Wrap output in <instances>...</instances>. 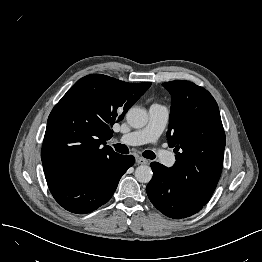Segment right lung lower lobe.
<instances>
[{
  "mask_svg": "<svg viewBox=\"0 0 262 262\" xmlns=\"http://www.w3.org/2000/svg\"><path fill=\"white\" fill-rule=\"evenodd\" d=\"M134 160L131 155H119L98 170L46 176V181L58 204L72 213L86 214L109 201L120 178Z\"/></svg>",
  "mask_w": 262,
  "mask_h": 262,
  "instance_id": "98d812e1",
  "label": "right lung lower lobe"
}]
</instances>
